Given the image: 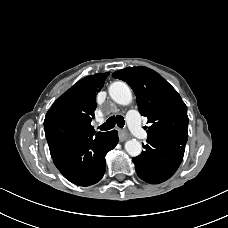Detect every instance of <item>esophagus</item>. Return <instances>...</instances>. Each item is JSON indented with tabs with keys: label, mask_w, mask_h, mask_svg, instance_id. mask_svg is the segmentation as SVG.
Here are the masks:
<instances>
[{
	"label": "esophagus",
	"mask_w": 228,
	"mask_h": 228,
	"mask_svg": "<svg viewBox=\"0 0 228 228\" xmlns=\"http://www.w3.org/2000/svg\"><path fill=\"white\" fill-rule=\"evenodd\" d=\"M118 135L121 142L127 140L129 137L128 133L124 130H119Z\"/></svg>",
	"instance_id": "obj_1"
}]
</instances>
